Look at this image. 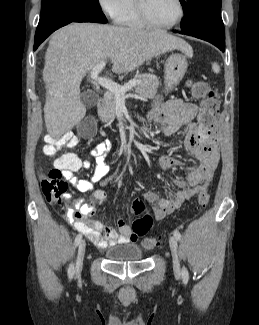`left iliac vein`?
Listing matches in <instances>:
<instances>
[{"label":"left iliac vein","mask_w":259,"mask_h":325,"mask_svg":"<svg viewBox=\"0 0 259 325\" xmlns=\"http://www.w3.org/2000/svg\"><path fill=\"white\" fill-rule=\"evenodd\" d=\"M169 246L172 252L173 256V270L176 277L181 276V268L180 263L178 259V245H177V239L174 236H171L169 238Z\"/></svg>","instance_id":"obj_1"}]
</instances>
